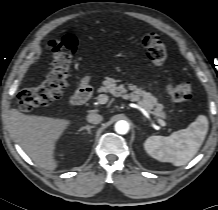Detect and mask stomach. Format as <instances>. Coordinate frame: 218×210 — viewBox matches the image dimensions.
<instances>
[{
  "label": "stomach",
  "mask_w": 218,
  "mask_h": 210,
  "mask_svg": "<svg viewBox=\"0 0 218 210\" xmlns=\"http://www.w3.org/2000/svg\"><path fill=\"white\" fill-rule=\"evenodd\" d=\"M88 82H89V78L88 77L82 79L81 86H86L88 84Z\"/></svg>",
  "instance_id": "stomach-1"
}]
</instances>
